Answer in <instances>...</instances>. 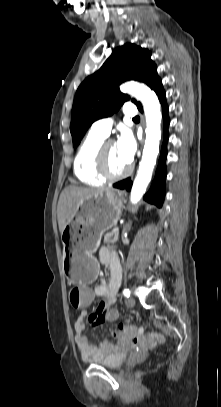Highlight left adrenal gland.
<instances>
[{
	"instance_id": "a2214340",
	"label": "left adrenal gland",
	"mask_w": 221,
	"mask_h": 407,
	"mask_svg": "<svg viewBox=\"0 0 221 407\" xmlns=\"http://www.w3.org/2000/svg\"><path fill=\"white\" fill-rule=\"evenodd\" d=\"M130 227H131L130 224H126L124 229L127 230V231H129V230H130Z\"/></svg>"
}]
</instances>
